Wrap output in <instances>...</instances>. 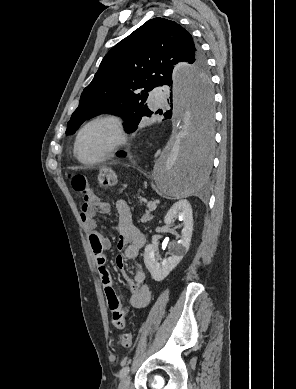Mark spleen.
<instances>
[{"instance_id": "obj_1", "label": "spleen", "mask_w": 296, "mask_h": 389, "mask_svg": "<svg viewBox=\"0 0 296 389\" xmlns=\"http://www.w3.org/2000/svg\"><path fill=\"white\" fill-rule=\"evenodd\" d=\"M195 187H196V186H195L194 184H192V187H191V188H192V191L195 189Z\"/></svg>"}]
</instances>
